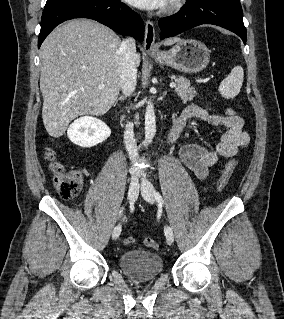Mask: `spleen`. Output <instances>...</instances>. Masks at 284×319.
I'll list each match as a JSON object with an SVG mask.
<instances>
[{
	"label": "spleen",
	"instance_id": "1",
	"mask_svg": "<svg viewBox=\"0 0 284 319\" xmlns=\"http://www.w3.org/2000/svg\"><path fill=\"white\" fill-rule=\"evenodd\" d=\"M244 72L241 66H235L230 74L220 83L219 93L227 98L232 99L238 95L243 83Z\"/></svg>",
	"mask_w": 284,
	"mask_h": 319
}]
</instances>
